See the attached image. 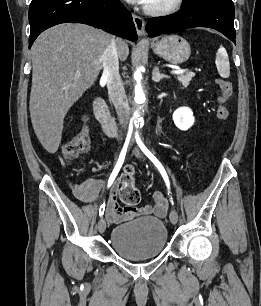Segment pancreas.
I'll return each mask as SVG.
<instances>
[{"label":"pancreas","instance_id":"1","mask_svg":"<svg viewBox=\"0 0 261 306\" xmlns=\"http://www.w3.org/2000/svg\"><path fill=\"white\" fill-rule=\"evenodd\" d=\"M194 76L195 73L190 71L185 74H178L177 79L184 87H187Z\"/></svg>","mask_w":261,"mask_h":306}]
</instances>
